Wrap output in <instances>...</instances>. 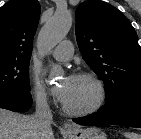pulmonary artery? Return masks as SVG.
<instances>
[{"label": "pulmonary artery", "mask_w": 141, "mask_h": 139, "mask_svg": "<svg viewBox=\"0 0 141 139\" xmlns=\"http://www.w3.org/2000/svg\"><path fill=\"white\" fill-rule=\"evenodd\" d=\"M73 55V45L70 41H62L53 51L52 56L58 61H66Z\"/></svg>", "instance_id": "e3ab8cb5"}]
</instances>
